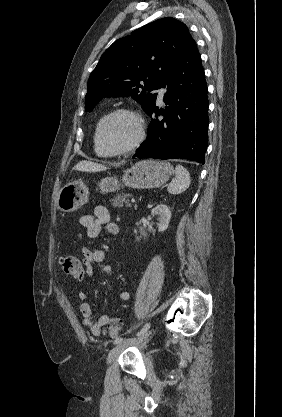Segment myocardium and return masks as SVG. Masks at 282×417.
<instances>
[{"mask_svg":"<svg viewBox=\"0 0 282 417\" xmlns=\"http://www.w3.org/2000/svg\"><path fill=\"white\" fill-rule=\"evenodd\" d=\"M126 116L133 119L137 126V134L135 138L128 144L119 146V147H112L107 142V130L110 123L117 117ZM145 138V123L143 118L136 112L126 109H117L107 115L100 125L99 130V145L102 150L108 154H120L123 152H127L139 146Z\"/></svg>","mask_w":282,"mask_h":417,"instance_id":"obj_1","label":"myocardium"}]
</instances>
